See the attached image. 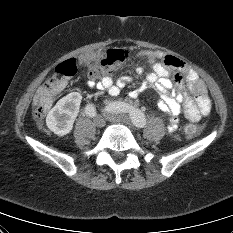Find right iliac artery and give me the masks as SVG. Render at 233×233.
Wrapping results in <instances>:
<instances>
[{
	"mask_svg": "<svg viewBox=\"0 0 233 233\" xmlns=\"http://www.w3.org/2000/svg\"><path fill=\"white\" fill-rule=\"evenodd\" d=\"M85 113L89 117H94L96 115V109L93 104H88L85 108Z\"/></svg>",
	"mask_w": 233,
	"mask_h": 233,
	"instance_id": "obj_1",
	"label": "right iliac artery"
}]
</instances>
